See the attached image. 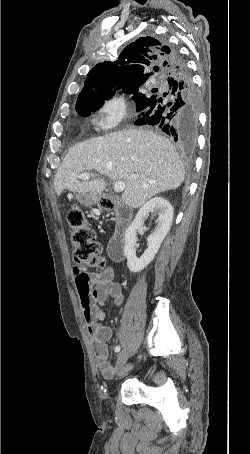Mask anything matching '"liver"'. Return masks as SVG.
Segmentation results:
<instances>
[{
    "instance_id": "obj_1",
    "label": "liver",
    "mask_w": 250,
    "mask_h": 454,
    "mask_svg": "<svg viewBox=\"0 0 250 454\" xmlns=\"http://www.w3.org/2000/svg\"><path fill=\"white\" fill-rule=\"evenodd\" d=\"M95 171L92 180L78 175ZM106 176L123 181V202L143 206L151 197L178 188L185 179V167L171 142L153 132L131 129L92 138L71 147L54 179L57 195L65 189L77 193H102Z\"/></svg>"
}]
</instances>
